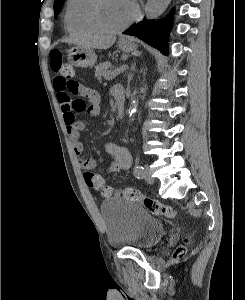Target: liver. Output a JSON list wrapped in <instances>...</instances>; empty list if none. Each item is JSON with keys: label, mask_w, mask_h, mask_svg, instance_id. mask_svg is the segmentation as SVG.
Here are the masks:
<instances>
[{"label": "liver", "mask_w": 245, "mask_h": 300, "mask_svg": "<svg viewBox=\"0 0 245 300\" xmlns=\"http://www.w3.org/2000/svg\"><path fill=\"white\" fill-rule=\"evenodd\" d=\"M116 38L113 36H86L82 38H67L65 42L75 43L78 47L90 49H108L110 48Z\"/></svg>", "instance_id": "1"}]
</instances>
